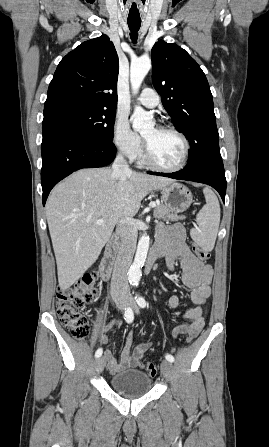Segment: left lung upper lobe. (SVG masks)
<instances>
[{
	"label": "left lung upper lobe",
	"mask_w": 269,
	"mask_h": 447,
	"mask_svg": "<svg viewBox=\"0 0 269 447\" xmlns=\"http://www.w3.org/2000/svg\"><path fill=\"white\" fill-rule=\"evenodd\" d=\"M152 83L177 131L190 143L185 169L221 160L213 98L204 72L181 47L158 41L151 51Z\"/></svg>",
	"instance_id": "left-lung-upper-lobe-1"
}]
</instances>
